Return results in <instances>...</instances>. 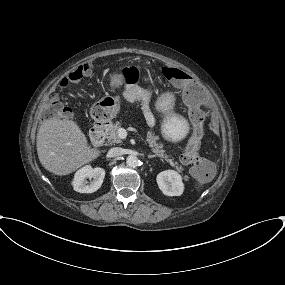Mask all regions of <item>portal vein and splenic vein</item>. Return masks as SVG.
Instances as JSON below:
<instances>
[{"instance_id": "18ae733b", "label": "portal vein and splenic vein", "mask_w": 285, "mask_h": 285, "mask_svg": "<svg viewBox=\"0 0 285 285\" xmlns=\"http://www.w3.org/2000/svg\"><path fill=\"white\" fill-rule=\"evenodd\" d=\"M127 134H128V132H127L126 129H124V128H119V130H118V136H119L120 139H125V138L127 137Z\"/></svg>"}]
</instances>
